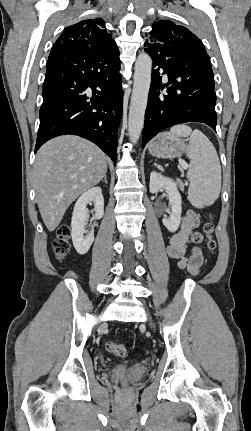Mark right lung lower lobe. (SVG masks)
Returning a JSON list of instances; mask_svg holds the SVG:
<instances>
[{
  "instance_id": "1",
  "label": "right lung lower lobe",
  "mask_w": 251,
  "mask_h": 431,
  "mask_svg": "<svg viewBox=\"0 0 251 431\" xmlns=\"http://www.w3.org/2000/svg\"><path fill=\"white\" fill-rule=\"evenodd\" d=\"M119 70L120 60L105 64L94 56L51 51L35 152L51 138L73 134L92 141L115 161L123 110Z\"/></svg>"
}]
</instances>
